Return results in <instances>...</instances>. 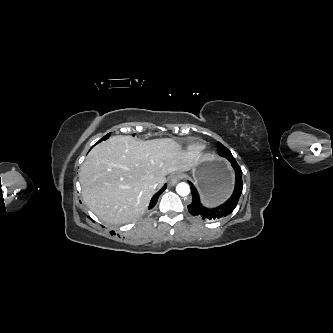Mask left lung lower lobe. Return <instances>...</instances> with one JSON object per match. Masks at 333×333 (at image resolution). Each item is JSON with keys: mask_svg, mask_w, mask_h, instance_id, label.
I'll return each mask as SVG.
<instances>
[{"mask_svg": "<svg viewBox=\"0 0 333 333\" xmlns=\"http://www.w3.org/2000/svg\"><path fill=\"white\" fill-rule=\"evenodd\" d=\"M229 161L235 170L236 176L235 189L232 196L224 204L218 207L206 208L201 204L196 188L191 182H189L191 185V193L193 198L191 204L188 205L190 214L206 221H217L218 219H222L233 212L243 189L242 170L235 160Z\"/></svg>", "mask_w": 333, "mask_h": 333, "instance_id": "1", "label": "left lung lower lobe"}]
</instances>
